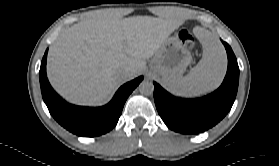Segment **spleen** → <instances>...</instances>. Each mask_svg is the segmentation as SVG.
<instances>
[{"instance_id": "spleen-1", "label": "spleen", "mask_w": 279, "mask_h": 166, "mask_svg": "<svg viewBox=\"0 0 279 166\" xmlns=\"http://www.w3.org/2000/svg\"><path fill=\"white\" fill-rule=\"evenodd\" d=\"M196 36L203 46L202 59L186 76L164 83L178 96L195 97L214 90L225 75L226 55L219 40L203 29H199Z\"/></svg>"}]
</instances>
